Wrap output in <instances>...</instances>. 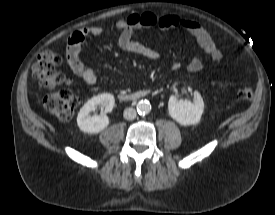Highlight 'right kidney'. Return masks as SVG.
<instances>
[{"instance_id":"obj_1","label":"right kidney","mask_w":275,"mask_h":215,"mask_svg":"<svg viewBox=\"0 0 275 215\" xmlns=\"http://www.w3.org/2000/svg\"><path fill=\"white\" fill-rule=\"evenodd\" d=\"M114 103V96L109 93L100 94L88 100L77 116L80 130L86 133H99L104 130L109 124L106 113L112 111ZM98 105L102 107L101 114L91 116L90 113L95 111Z\"/></svg>"}]
</instances>
